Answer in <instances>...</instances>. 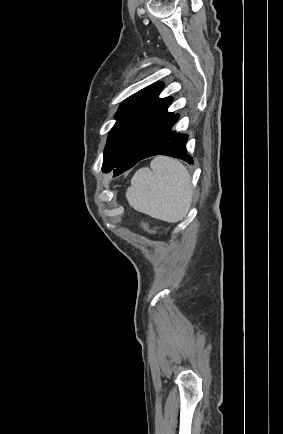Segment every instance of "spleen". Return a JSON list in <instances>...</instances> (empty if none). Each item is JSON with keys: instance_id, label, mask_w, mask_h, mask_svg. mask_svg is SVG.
I'll list each match as a JSON object with an SVG mask.
<instances>
[{"instance_id": "3e777b00", "label": "spleen", "mask_w": 283, "mask_h": 434, "mask_svg": "<svg viewBox=\"0 0 283 434\" xmlns=\"http://www.w3.org/2000/svg\"><path fill=\"white\" fill-rule=\"evenodd\" d=\"M150 168L133 176L126 198L135 210L166 222H178L187 214L191 200V177L187 168L169 157H155Z\"/></svg>"}]
</instances>
